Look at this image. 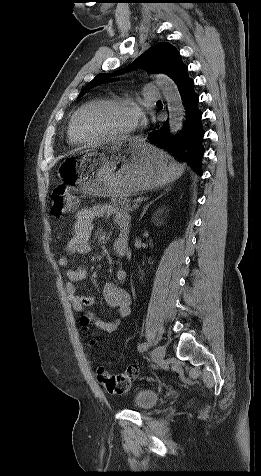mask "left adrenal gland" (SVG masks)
<instances>
[{"label": "left adrenal gland", "instance_id": "1", "mask_svg": "<svg viewBox=\"0 0 261 476\" xmlns=\"http://www.w3.org/2000/svg\"><path fill=\"white\" fill-rule=\"evenodd\" d=\"M169 190H170V188L166 189L163 194H161L160 196H158L155 200L151 201L150 203L146 204V205L144 206V209H143L141 215H140V219H142V217H143L144 214L146 213L148 207H149L152 203H154L157 199L161 198V197H162L166 192H168ZM140 219H139V220H140Z\"/></svg>", "mask_w": 261, "mask_h": 476}]
</instances>
